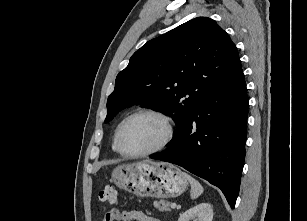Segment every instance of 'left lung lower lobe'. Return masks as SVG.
Listing matches in <instances>:
<instances>
[{
  "mask_svg": "<svg viewBox=\"0 0 307 221\" xmlns=\"http://www.w3.org/2000/svg\"><path fill=\"white\" fill-rule=\"evenodd\" d=\"M248 97L238 60L228 77L192 110L152 159L179 165L217 186L234 208L245 158Z\"/></svg>",
  "mask_w": 307,
  "mask_h": 221,
  "instance_id": "0a47b994",
  "label": "left lung lower lobe"
}]
</instances>
